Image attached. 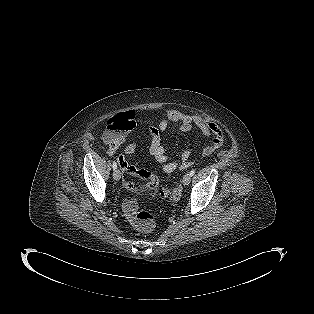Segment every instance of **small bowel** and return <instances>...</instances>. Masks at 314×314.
<instances>
[{"label": "small bowel", "instance_id": "1", "mask_svg": "<svg viewBox=\"0 0 314 314\" xmlns=\"http://www.w3.org/2000/svg\"><path fill=\"white\" fill-rule=\"evenodd\" d=\"M171 124H178V131L190 132L194 128L199 129L202 134L209 140L202 149L204 157L211 156L219 147L224 143L225 136L222 128L200 115L186 114L177 110H169L157 123V125L150 126L148 135L150 139V152L161 163H163V171L170 173L173 172L178 166L186 168L190 165V151L184 150L181 155L180 163L171 160L166 153L165 146L162 143L161 133L168 130ZM125 137L121 140L108 144V154L113 155L119 146L123 143ZM137 147L136 141H131L125 147V155H132ZM124 154L117 157L119 166L123 171L130 174H136L137 170L134 166L130 165Z\"/></svg>", "mask_w": 314, "mask_h": 314}]
</instances>
